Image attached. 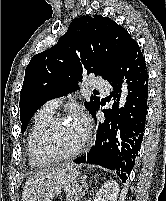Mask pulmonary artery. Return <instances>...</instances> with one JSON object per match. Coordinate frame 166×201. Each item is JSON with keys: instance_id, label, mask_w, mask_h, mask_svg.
Returning <instances> with one entry per match:
<instances>
[{"instance_id": "obj_1", "label": "pulmonary artery", "mask_w": 166, "mask_h": 201, "mask_svg": "<svg viewBox=\"0 0 166 201\" xmlns=\"http://www.w3.org/2000/svg\"><path fill=\"white\" fill-rule=\"evenodd\" d=\"M92 86L96 89L106 91L109 88V85L106 81L102 79H93L91 82ZM62 100L61 99H53L50 100L46 105L45 108L55 111L58 109L59 105L61 104Z\"/></svg>"}]
</instances>
